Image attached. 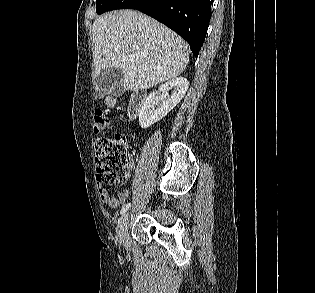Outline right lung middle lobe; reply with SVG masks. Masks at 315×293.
Wrapping results in <instances>:
<instances>
[{
    "label": "right lung middle lobe",
    "mask_w": 315,
    "mask_h": 293,
    "mask_svg": "<svg viewBox=\"0 0 315 293\" xmlns=\"http://www.w3.org/2000/svg\"><path fill=\"white\" fill-rule=\"evenodd\" d=\"M117 0H96V12L102 14L106 12Z\"/></svg>",
    "instance_id": "1"
}]
</instances>
